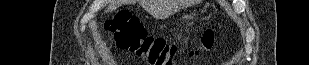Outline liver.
<instances>
[{"label":"liver","instance_id":"1","mask_svg":"<svg viewBox=\"0 0 309 65\" xmlns=\"http://www.w3.org/2000/svg\"><path fill=\"white\" fill-rule=\"evenodd\" d=\"M122 3H123L122 0H112L110 5L107 8V11L111 12L117 9ZM160 4H161V1L159 0H146V1L144 0L142 2L143 7H145V9L150 13H153L155 9H158Z\"/></svg>","mask_w":309,"mask_h":65}]
</instances>
